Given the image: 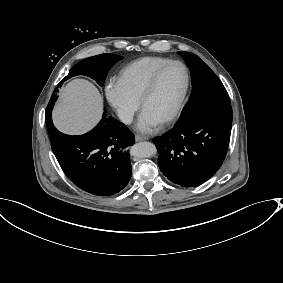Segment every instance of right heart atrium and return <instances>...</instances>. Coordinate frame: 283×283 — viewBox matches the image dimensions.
<instances>
[{
	"mask_svg": "<svg viewBox=\"0 0 283 283\" xmlns=\"http://www.w3.org/2000/svg\"><path fill=\"white\" fill-rule=\"evenodd\" d=\"M104 92L120 120L124 123L130 122L138 108V101L129 96L119 79H109L104 86Z\"/></svg>",
	"mask_w": 283,
	"mask_h": 283,
	"instance_id": "right-heart-atrium-1",
	"label": "right heart atrium"
}]
</instances>
